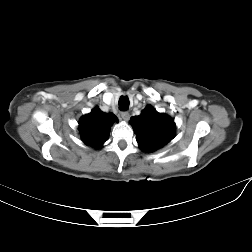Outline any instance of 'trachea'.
Listing matches in <instances>:
<instances>
[{
    "instance_id": "3493384b",
    "label": "trachea",
    "mask_w": 252,
    "mask_h": 252,
    "mask_svg": "<svg viewBox=\"0 0 252 252\" xmlns=\"http://www.w3.org/2000/svg\"><path fill=\"white\" fill-rule=\"evenodd\" d=\"M129 108V99L126 96H121L119 99V109L121 111H126Z\"/></svg>"
}]
</instances>
